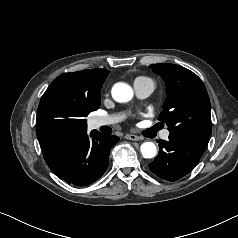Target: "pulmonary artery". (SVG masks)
I'll list each match as a JSON object with an SVG mask.
<instances>
[{
	"mask_svg": "<svg viewBox=\"0 0 238 238\" xmlns=\"http://www.w3.org/2000/svg\"><path fill=\"white\" fill-rule=\"evenodd\" d=\"M134 89L138 97L146 98L155 89V84L153 81H139L134 83ZM121 119V116H107V117H97L95 119V126L101 127L105 125L113 124ZM169 136V131H164L162 134L163 139H167Z\"/></svg>",
	"mask_w": 238,
	"mask_h": 238,
	"instance_id": "pulmonary-artery-1",
	"label": "pulmonary artery"
}]
</instances>
